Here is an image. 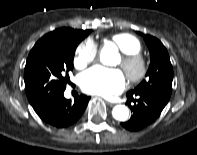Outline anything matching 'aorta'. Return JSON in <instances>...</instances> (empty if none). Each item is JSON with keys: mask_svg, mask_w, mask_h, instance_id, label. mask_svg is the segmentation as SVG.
Instances as JSON below:
<instances>
[{"mask_svg": "<svg viewBox=\"0 0 197 155\" xmlns=\"http://www.w3.org/2000/svg\"><path fill=\"white\" fill-rule=\"evenodd\" d=\"M115 49L112 46H105L101 50L100 61L108 65L110 63L111 58L115 55ZM112 115L114 119L118 121H126L129 116V110L124 105H116L112 110Z\"/></svg>", "mask_w": 197, "mask_h": 155, "instance_id": "obj_1", "label": "aorta"}]
</instances>
